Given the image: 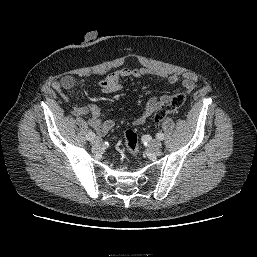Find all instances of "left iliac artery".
I'll use <instances>...</instances> for the list:
<instances>
[{"instance_id":"44dca946","label":"left iliac artery","mask_w":257,"mask_h":257,"mask_svg":"<svg viewBox=\"0 0 257 257\" xmlns=\"http://www.w3.org/2000/svg\"><path fill=\"white\" fill-rule=\"evenodd\" d=\"M156 137L159 140H163L164 139V134L162 132H159V133H157Z\"/></svg>"}]
</instances>
